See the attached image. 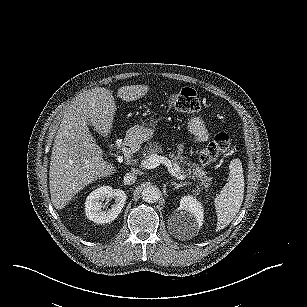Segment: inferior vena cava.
<instances>
[{"label": "inferior vena cava", "mask_w": 307, "mask_h": 307, "mask_svg": "<svg viewBox=\"0 0 307 307\" xmlns=\"http://www.w3.org/2000/svg\"><path fill=\"white\" fill-rule=\"evenodd\" d=\"M137 179V175L131 172H128L124 175V184L125 185H132L135 183Z\"/></svg>", "instance_id": "obj_1"}]
</instances>
